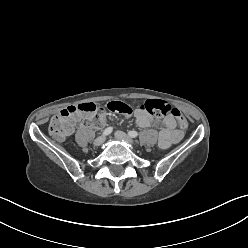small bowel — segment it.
<instances>
[{
  "label": "small bowel",
  "instance_id": "small-bowel-1",
  "mask_svg": "<svg viewBox=\"0 0 248 248\" xmlns=\"http://www.w3.org/2000/svg\"><path fill=\"white\" fill-rule=\"evenodd\" d=\"M134 117L139 127L146 128L155 124L154 119L145 111L136 109L134 111ZM90 121L87 120V123ZM163 127L158 134V144L161 148L167 149L173 144L177 143L181 139V132L175 130L176 121L172 115L166 116L163 121Z\"/></svg>",
  "mask_w": 248,
  "mask_h": 248
}]
</instances>
